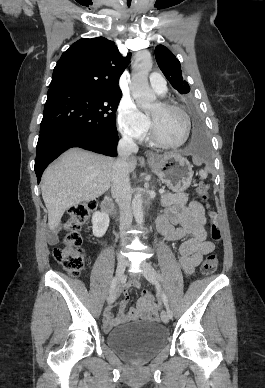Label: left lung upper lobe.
<instances>
[{"label":"left lung upper lobe","mask_w":265,"mask_h":388,"mask_svg":"<svg viewBox=\"0 0 265 388\" xmlns=\"http://www.w3.org/2000/svg\"><path fill=\"white\" fill-rule=\"evenodd\" d=\"M157 64L167 80L180 93L190 91L189 84L183 80L179 60L165 46L159 45L155 49Z\"/></svg>","instance_id":"obj_1"}]
</instances>
